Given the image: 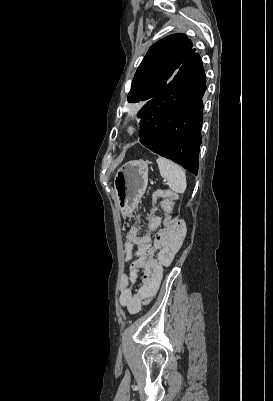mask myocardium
I'll list each match as a JSON object with an SVG mask.
<instances>
[{"label":"myocardium","instance_id":"myocardium-1","mask_svg":"<svg viewBox=\"0 0 273 401\" xmlns=\"http://www.w3.org/2000/svg\"><path fill=\"white\" fill-rule=\"evenodd\" d=\"M142 131L140 122L130 119L126 120L120 128V134L124 141L131 142L137 139Z\"/></svg>","mask_w":273,"mask_h":401}]
</instances>
